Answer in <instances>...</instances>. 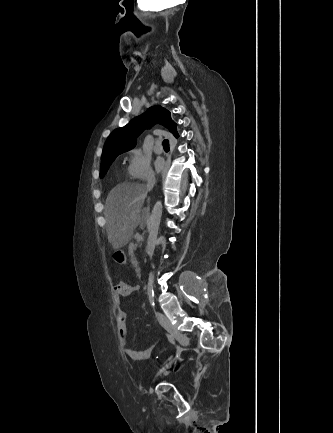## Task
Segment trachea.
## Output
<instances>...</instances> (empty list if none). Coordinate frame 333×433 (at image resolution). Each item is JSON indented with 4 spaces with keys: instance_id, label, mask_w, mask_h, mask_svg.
<instances>
[{
    "instance_id": "3493384b",
    "label": "trachea",
    "mask_w": 333,
    "mask_h": 433,
    "mask_svg": "<svg viewBox=\"0 0 333 433\" xmlns=\"http://www.w3.org/2000/svg\"><path fill=\"white\" fill-rule=\"evenodd\" d=\"M163 147L166 148V149H169V141L167 139H165L163 141Z\"/></svg>"
}]
</instances>
